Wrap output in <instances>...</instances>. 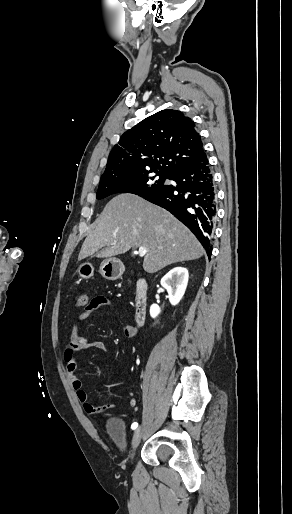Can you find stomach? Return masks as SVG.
I'll return each mask as SVG.
<instances>
[{
  "label": "stomach",
  "mask_w": 292,
  "mask_h": 514,
  "mask_svg": "<svg viewBox=\"0 0 292 514\" xmlns=\"http://www.w3.org/2000/svg\"><path fill=\"white\" fill-rule=\"evenodd\" d=\"M77 272L83 280H90L94 276V268L90 262L80 264ZM99 272L106 280H118L124 272V266L117 258H108L101 262Z\"/></svg>",
  "instance_id": "0dacf381"
}]
</instances>
